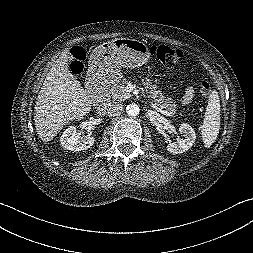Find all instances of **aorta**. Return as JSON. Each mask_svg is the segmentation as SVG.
<instances>
[{"instance_id":"obj_1","label":"aorta","mask_w":253,"mask_h":253,"mask_svg":"<svg viewBox=\"0 0 253 253\" xmlns=\"http://www.w3.org/2000/svg\"><path fill=\"white\" fill-rule=\"evenodd\" d=\"M139 112H140V109L137 104L132 103L126 107V113L128 116L135 117L139 114Z\"/></svg>"}]
</instances>
